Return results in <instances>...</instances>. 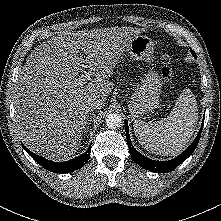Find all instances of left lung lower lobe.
I'll return each instance as SVG.
<instances>
[{
  "label": "left lung lower lobe",
  "instance_id": "left-lung-lower-lobe-1",
  "mask_svg": "<svg viewBox=\"0 0 221 221\" xmlns=\"http://www.w3.org/2000/svg\"><path fill=\"white\" fill-rule=\"evenodd\" d=\"M203 123H204V119H203ZM203 123H202V126L200 128V131L197 137L184 152H182L179 156L169 161H156V160H152L143 156L132 146L130 138H129L128 123H127V120H124L127 144L129 147V152L131 154V157L139 166L143 167L144 169H147L151 172H162V173L166 172L167 173L175 169L178 165H180L184 160H186L193 153V151L195 150L199 142Z\"/></svg>",
  "mask_w": 221,
  "mask_h": 221
}]
</instances>
